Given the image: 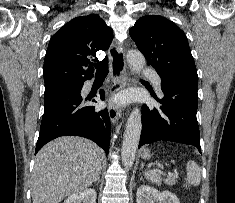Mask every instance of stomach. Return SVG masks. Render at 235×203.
<instances>
[{
	"mask_svg": "<svg viewBox=\"0 0 235 203\" xmlns=\"http://www.w3.org/2000/svg\"><path fill=\"white\" fill-rule=\"evenodd\" d=\"M151 151L149 149H144L143 152H142V157L144 159H147V158H150L151 157Z\"/></svg>",
	"mask_w": 235,
	"mask_h": 203,
	"instance_id": "stomach-1",
	"label": "stomach"
}]
</instances>
